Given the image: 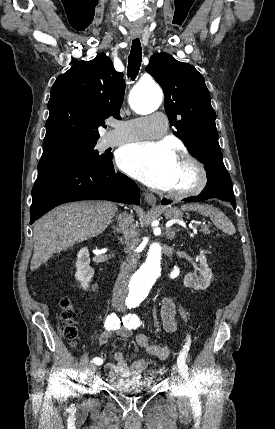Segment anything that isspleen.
<instances>
[{
    "label": "spleen",
    "mask_w": 275,
    "mask_h": 429,
    "mask_svg": "<svg viewBox=\"0 0 275 429\" xmlns=\"http://www.w3.org/2000/svg\"><path fill=\"white\" fill-rule=\"evenodd\" d=\"M184 211L198 212L203 216L210 217L213 224L228 235L235 234V226L231 220L218 208L211 205L189 204L181 207Z\"/></svg>",
    "instance_id": "3e777b00"
}]
</instances>
